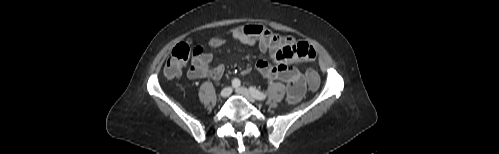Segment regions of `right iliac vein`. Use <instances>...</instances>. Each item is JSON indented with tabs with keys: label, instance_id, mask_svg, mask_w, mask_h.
<instances>
[{
	"label": "right iliac vein",
	"instance_id": "right-iliac-vein-1",
	"mask_svg": "<svg viewBox=\"0 0 499 154\" xmlns=\"http://www.w3.org/2000/svg\"><path fill=\"white\" fill-rule=\"evenodd\" d=\"M231 93H232V88L225 87L221 90L220 95H221V97L226 98V97L230 96Z\"/></svg>",
	"mask_w": 499,
	"mask_h": 154
}]
</instances>
